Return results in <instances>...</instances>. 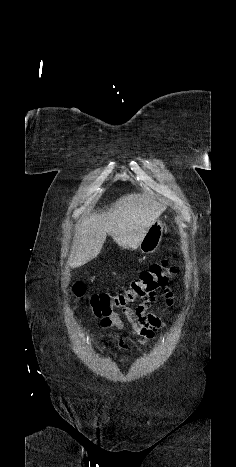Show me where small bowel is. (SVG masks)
I'll return each mask as SVG.
<instances>
[{
	"instance_id": "c3829d8e",
	"label": "small bowel",
	"mask_w": 236,
	"mask_h": 467,
	"mask_svg": "<svg viewBox=\"0 0 236 467\" xmlns=\"http://www.w3.org/2000/svg\"><path fill=\"white\" fill-rule=\"evenodd\" d=\"M168 307L172 308L174 304L173 293L170 289L164 291ZM154 307L155 310L147 313V311ZM122 314L131 323L133 332L140 335L141 338L137 340L138 344L144 345L153 340L160 329L165 326V323L157 313L156 306V293H152L135 307L131 308L126 306L122 309ZM99 325L103 328L114 326L118 330L124 327L123 320L118 313H112L109 316L99 318ZM119 346L122 349L128 347L126 337L121 335L118 337Z\"/></svg>"
}]
</instances>
